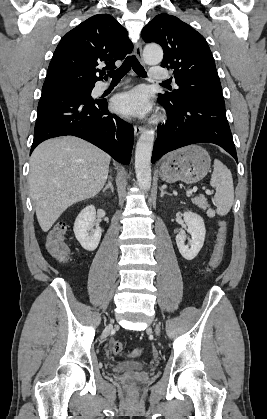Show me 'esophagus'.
<instances>
[{"instance_id":"1","label":"esophagus","mask_w":267,"mask_h":419,"mask_svg":"<svg viewBox=\"0 0 267 419\" xmlns=\"http://www.w3.org/2000/svg\"><path fill=\"white\" fill-rule=\"evenodd\" d=\"M134 53H135L136 57L139 60L142 59V43H141V41H138L135 44ZM143 131H144V127L143 126H139V125H135L134 126V132H135V135L136 136H138L139 134H141Z\"/></svg>"}]
</instances>
